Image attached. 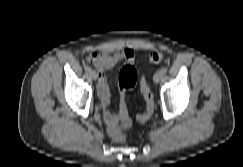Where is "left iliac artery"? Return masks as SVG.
Wrapping results in <instances>:
<instances>
[{"instance_id": "obj_1", "label": "left iliac artery", "mask_w": 243, "mask_h": 167, "mask_svg": "<svg viewBox=\"0 0 243 167\" xmlns=\"http://www.w3.org/2000/svg\"><path fill=\"white\" fill-rule=\"evenodd\" d=\"M161 71H162L163 74H166V73H167V68L163 67V68L161 69Z\"/></svg>"}]
</instances>
